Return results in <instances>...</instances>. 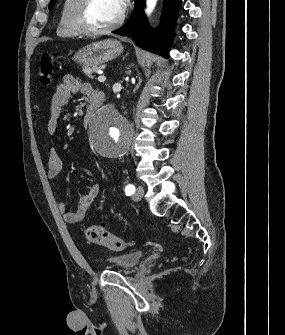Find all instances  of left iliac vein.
Listing matches in <instances>:
<instances>
[{"label": "left iliac vein", "instance_id": "obj_1", "mask_svg": "<svg viewBox=\"0 0 285 335\" xmlns=\"http://www.w3.org/2000/svg\"><path fill=\"white\" fill-rule=\"evenodd\" d=\"M144 195V188L143 186L139 185L136 190H135V193L133 195V199L136 200V201H139L142 199Z\"/></svg>", "mask_w": 285, "mask_h": 335}]
</instances>
